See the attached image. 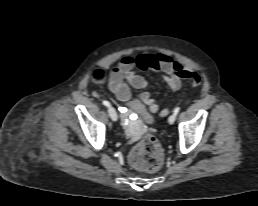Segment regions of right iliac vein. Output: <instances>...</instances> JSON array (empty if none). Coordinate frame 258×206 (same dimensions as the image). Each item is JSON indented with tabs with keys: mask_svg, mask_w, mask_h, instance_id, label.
<instances>
[{
	"mask_svg": "<svg viewBox=\"0 0 258 206\" xmlns=\"http://www.w3.org/2000/svg\"><path fill=\"white\" fill-rule=\"evenodd\" d=\"M108 113H109L110 118H111L113 121H117L118 115H117L116 110H115L112 106H109V108H108Z\"/></svg>",
	"mask_w": 258,
	"mask_h": 206,
	"instance_id": "obj_1",
	"label": "right iliac vein"
}]
</instances>
